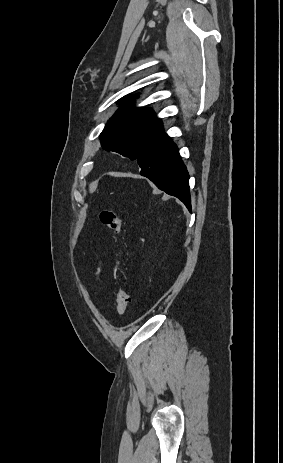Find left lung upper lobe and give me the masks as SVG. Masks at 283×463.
<instances>
[{
  "label": "left lung upper lobe",
  "mask_w": 283,
  "mask_h": 463,
  "mask_svg": "<svg viewBox=\"0 0 283 463\" xmlns=\"http://www.w3.org/2000/svg\"><path fill=\"white\" fill-rule=\"evenodd\" d=\"M130 100V96L122 98L121 109L106 124L100 139L103 149L136 160L163 126L151 109L132 107Z\"/></svg>",
  "instance_id": "obj_1"
}]
</instances>
